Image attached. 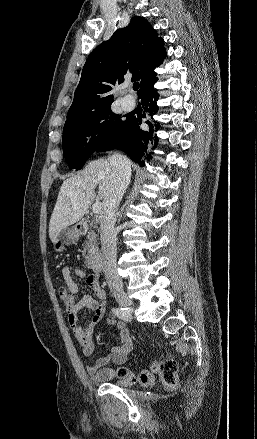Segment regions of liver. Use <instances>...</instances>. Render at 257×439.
I'll return each mask as SVG.
<instances>
[{"instance_id":"liver-1","label":"liver","mask_w":257,"mask_h":439,"mask_svg":"<svg viewBox=\"0 0 257 439\" xmlns=\"http://www.w3.org/2000/svg\"><path fill=\"white\" fill-rule=\"evenodd\" d=\"M113 174L110 161L98 159L89 162L80 173L63 182L49 223V237L53 243L63 229L84 216L95 200H103L104 205Z\"/></svg>"}]
</instances>
